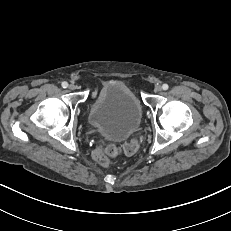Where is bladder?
Wrapping results in <instances>:
<instances>
[{"label": "bladder", "instance_id": "1", "mask_svg": "<svg viewBox=\"0 0 231 231\" xmlns=\"http://www.w3.org/2000/svg\"><path fill=\"white\" fill-rule=\"evenodd\" d=\"M142 105L133 90L123 81L104 82L88 110L92 126L111 139H124L140 126Z\"/></svg>", "mask_w": 231, "mask_h": 231}]
</instances>
